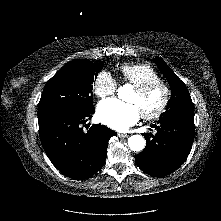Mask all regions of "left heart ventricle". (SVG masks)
I'll use <instances>...</instances> for the list:
<instances>
[{"instance_id": "b2bd125f", "label": "left heart ventricle", "mask_w": 221, "mask_h": 221, "mask_svg": "<svg viewBox=\"0 0 221 221\" xmlns=\"http://www.w3.org/2000/svg\"><path fill=\"white\" fill-rule=\"evenodd\" d=\"M162 100V92L161 90L157 89L150 93L146 97H140L136 94L135 91L131 93L128 97V101L130 103H134L138 106L140 111H151L158 107Z\"/></svg>"}]
</instances>
